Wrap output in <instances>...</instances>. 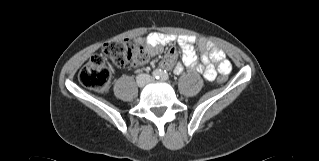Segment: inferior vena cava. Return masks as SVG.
<instances>
[{
  "label": "inferior vena cava",
  "mask_w": 319,
  "mask_h": 161,
  "mask_svg": "<svg viewBox=\"0 0 319 161\" xmlns=\"http://www.w3.org/2000/svg\"><path fill=\"white\" fill-rule=\"evenodd\" d=\"M151 81V76L148 74H140L137 76V83L140 85H144Z\"/></svg>",
  "instance_id": "602c4592"
}]
</instances>
